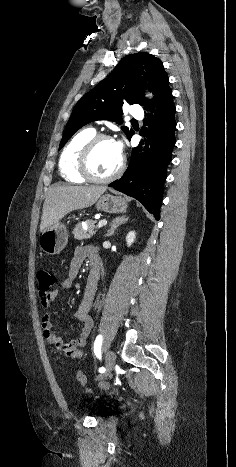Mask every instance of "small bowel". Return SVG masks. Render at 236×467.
I'll return each instance as SVG.
<instances>
[{"label":"small bowel","mask_w":236,"mask_h":467,"mask_svg":"<svg viewBox=\"0 0 236 467\" xmlns=\"http://www.w3.org/2000/svg\"><path fill=\"white\" fill-rule=\"evenodd\" d=\"M87 259L90 261L91 265L94 264L98 267L99 253L96 249L89 246H80L74 251L66 277L50 294L42 297L41 306L44 309H49L51 303L59 296L62 290H68L72 287L74 279L78 275L84 261ZM97 282L98 278L92 281L88 276L82 299L75 312V317L81 324L80 335L76 339L69 343L64 342L52 329L51 314L45 313L42 317L41 324L46 342L53 346L57 353L62 356L77 359L83 354V348L86 346L87 339L93 328L90 309L97 291Z\"/></svg>","instance_id":"1"}]
</instances>
